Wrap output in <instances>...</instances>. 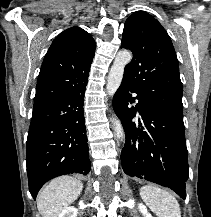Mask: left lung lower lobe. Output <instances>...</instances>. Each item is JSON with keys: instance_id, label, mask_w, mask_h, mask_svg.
<instances>
[{"instance_id": "1", "label": "left lung lower lobe", "mask_w": 211, "mask_h": 217, "mask_svg": "<svg viewBox=\"0 0 211 217\" xmlns=\"http://www.w3.org/2000/svg\"><path fill=\"white\" fill-rule=\"evenodd\" d=\"M131 93L137 94L136 107L130 106L135 101ZM113 108L126 135L121 153L124 172L168 187L185 199L189 168L183 121L157 110L124 79L113 97ZM137 111L142 117L139 123L132 120Z\"/></svg>"}]
</instances>
